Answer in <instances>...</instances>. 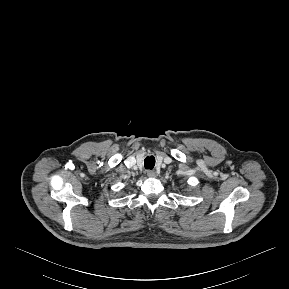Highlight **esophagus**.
Returning a JSON list of instances; mask_svg holds the SVG:
<instances>
[{"label":"esophagus","instance_id":"1","mask_svg":"<svg viewBox=\"0 0 289 289\" xmlns=\"http://www.w3.org/2000/svg\"><path fill=\"white\" fill-rule=\"evenodd\" d=\"M147 176L148 177H155L156 176V172L154 170H148L147 171Z\"/></svg>","mask_w":289,"mask_h":289}]
</instances>
